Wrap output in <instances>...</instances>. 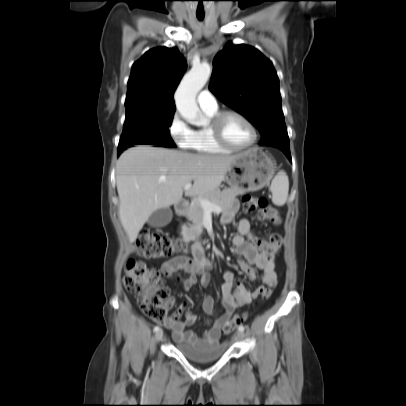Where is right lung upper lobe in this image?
<instances>
[{"label": "right lung upper lobe", "mask_w": 406, "mask_h": 406, "mask_svg": "<svg viewBox=\"0 0 406 406\" xmlns=\"http://www.w3.org/2000/svg\"><path fill=\"white\" fill-rule=\"evenodd\" d=\"M186 70L177 48L156 47L147 51L131 70L126 110L174 111L173 94Z\"/></svg>", "instance_id": "obj_1"}]
</instances>
